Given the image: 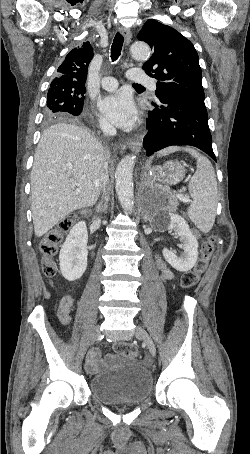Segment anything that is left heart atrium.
<instances>
[{
  "label": "left heart atrium",
  "mask_w": 250,
  "mask_h": 454,
  "mask_svg": "<svg viewBox=\"0 0 250 454\" xmlns=\"http://www.w3.org/2000/svg\"><path fill=\"white\" fill-rule=\"evenodd\" d=\"M99 108L112 124L120 128H130L137 118L132 98L122 91L101 98Z\"/></svg>",
  "instance_id": "1"
}]
</instances>
